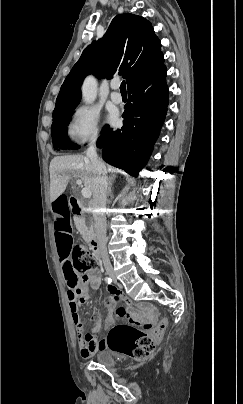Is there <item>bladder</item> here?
<instances>
[{
	"instance_id": "obj_1",
	"label": "bladder",
	"mask_w": 243,
	"mask_h": 404,
	"mask_svg": "<svg viewBox=\"0 0 243 404\" xmlns=\"http://www.w3.org/2000/svg\"><path fill=\"white\" fill-rule=\"evenodd\" d=\"M95 361L99 365L104 366L106 368H111L116 365V360H115L113 354L109 350H106V349L99 351L95 355Z\"/></svg>"
}]
</instances>
